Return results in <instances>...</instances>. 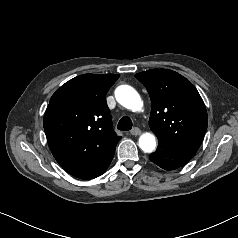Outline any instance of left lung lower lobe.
<instances>
[{
	"instance_id": "1",
	"label": "left lung lower lobe",
	"mask_w": 238,
	"mask_h": 238,
	"mask_svg": "<svg viewBox=\"0 0 238 238\" xmlns=\"http://www.w3.org/2000/svg\"><path fill=\"white\" fill-rule=\"evenodd\" d=\"M194 155L159 144L157 150L149 155V159L165 170H173L187 164Z\"/></svg>"
}]
</instances>
